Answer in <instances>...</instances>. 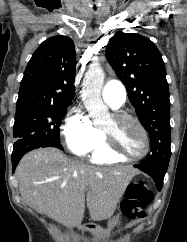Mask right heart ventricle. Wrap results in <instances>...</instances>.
Segmentation results:
<instances>
[{"label":"right heart ventricle","instance_id":"right-heart-ventricle-1","mask_svg":"<svg viewBox=\"0 0 187 242\" xmlns=\"http://www.w3.org/2000/svg\"><path fill=\"white\" fill-rule=\"evenodd\" d=\"M90 160L95 164H112L125 161V159L111 154L107 150L104 140L92 151Z\"/></svg>","mask_w":187,"mask_h":242}]
</instances>
